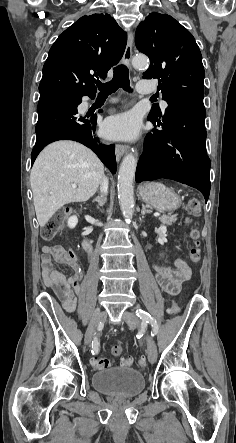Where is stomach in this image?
I'll return each mask as SVG.
<instances>
[{"instance_id": "0dacf381", "label": "stomach", "mask_w": 236, "mask_h": 443, "mask_svg": "<svg viewBox=\"0 0 236 443\" xmlns=\"http://www.w3.org/2000/svg\"><path fill=\"white\" fill-rule=\"evenodd\" d=\"M139 194L146 204L160 211H173L181 205L178 195L161 183H145L140 187Z\"/></svg>"}]
</instances>
